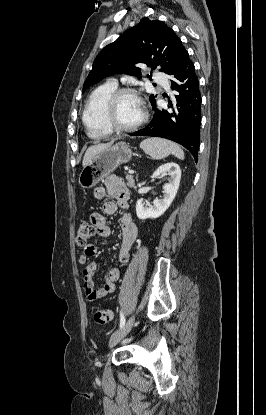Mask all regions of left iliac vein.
<instances>
[{"label": "left iliac vein", "mask_w": 266, "mask_h": 415, "mask_svg": "<svg viewBox=\"0 0 266 415\" xmlns=\"http://www.w3.org/2000/svg\"><path fill=\"white\" fill-rule=\"evenodd\" d=\"M135 317L131 316L126 323L123 325L122 328H120L118 331H116L110 338V347L115 346L117 343H119L131 330L133 324H134Z\"/></svg>", "instance_id": "1"}]
</instances>
